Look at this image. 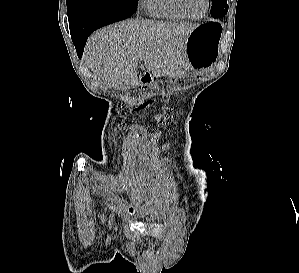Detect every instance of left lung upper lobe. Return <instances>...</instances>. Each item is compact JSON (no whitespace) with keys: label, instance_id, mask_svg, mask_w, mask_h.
<instances>
[{"label":"left lung upper lobe","instance_id":"1","mask_svg":"<svg viewBox=\"0 0 299 273\" xmlns=\"http://www.w3.org/2000/svg\"><path fill=\"white\" fill-rule=\"evenodd\" d=\"M228 11L227 0H212L211 16L223 17Z\"/></svg>","mask_w":299,"mask_h":273}]
</instances>
